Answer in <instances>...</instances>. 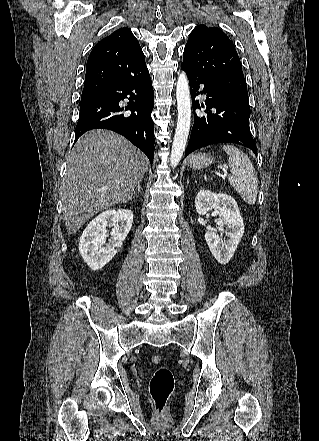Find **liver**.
I'll return each instance as SVG.
<instances>
[{"label":"liver","mask_w":319,"mask_h":441,"mask_svg":"<svg viewBox=\"0 0 319 441\" xmlns=\"http://www.w3.org/2000/svg\"><path fill=\"white\" fill-rule=\"evenodd\" d=\"M148 167L144 153L117 133L96 129L82 135L69 153L62 183L68 233L75 234L98 212L131 200Z\"/></svg>","instance_id":"obj_1"}]
</instances>
